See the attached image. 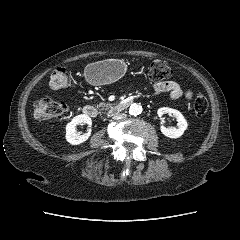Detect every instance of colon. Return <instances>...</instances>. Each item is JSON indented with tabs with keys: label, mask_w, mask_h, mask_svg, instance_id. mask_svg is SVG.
Returning <instances> with one entry per match:
<instances>
[{
	"label": "colon",
	"mask_w": 240,
	"mask_h": 240,
	"mask_svg": "<svg viewBox=\"0 0 240 240\" xmlns=\"http://www.w3.org/2000/svg\"><path fill=\"white\" fill-rule=\"evenodd\" d=\"M171 75L169 66L163 61H155L150 65L149 77L154 81H161ZM70 84L69 74L64 67L56 68L50 76V86L52 89H64ZM193 108L196 116H203L208 109V101L204 94L197 91L193 95ZM66 110L62 102H58L50 97H44L34 104V115L38 118L53 119L61 116Z\"/></svg>",
	"instance_id": "1"
}]
</instances>
